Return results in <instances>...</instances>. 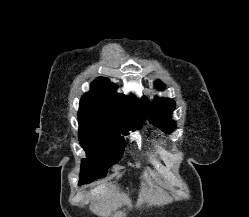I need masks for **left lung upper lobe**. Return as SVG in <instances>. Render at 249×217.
Listing matches in <instances>:
<instances>
[{"mask_svg":"<svg viewBox=\"0 0 249 217\" xmlns=\"http://www.w3.org/2000/svg\"><path fill=\"white\" fill-rule=\"evenodd\" d=\"M156 87L164 89L165 85L160 81H156ZM174 108L175 101L168 98H156L151 105L145 107L146 112L149 111V121L166 133L172 132L176 127L175 122L171 119Z\"/></svg>","mask_w":249,"mask_h":217,"instance_id":"1","label":"left lung upper lobe"}]
</instances>
